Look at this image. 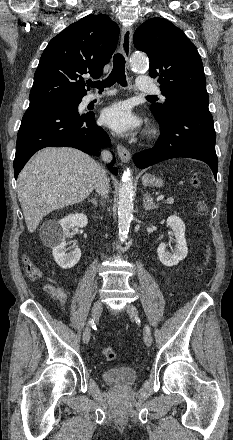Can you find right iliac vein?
<instances>
[{
	"instance_id": "1",
	"label": "right iliac vein",
	"mask_w": 233,
	"mask_h": 440,
	"mask_svg": "<svg viewBox=\"0 0 233 440\" xmlns=\"http://www.w3.org/2000/svg\"><path fill=\"white\" fill-rule=\"evenodd\" d=\"M101 312H102V302L100 300H97L92 307L93 319L98 318ZM90 337H91V325L89 324L83 332V342L85 344H88V342L90 341Z\"/></svg>"
}]
</instances>
